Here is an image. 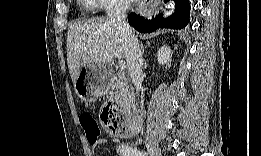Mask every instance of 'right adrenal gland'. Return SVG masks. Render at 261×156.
Returning <instances> with one entry per match:
<instances>
[{
    "instance_id": "1",
    "label": "right adrenal gland",
    "mask_w": 261,
    "mask_h": 156,
    "mask_svg": "<svg viewBox=\"0 0 261 156\" xmlns=\"http://www.w3.org/2000/svg\"><path fill=\"white\" fill-rule=\"evenodd\" d=\"M141 50H142V54H144L145 50L143 46H141Z\"/></svg>"
}]
</instances>
